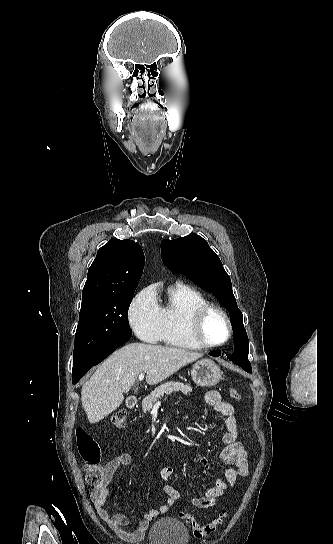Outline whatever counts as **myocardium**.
Returning a JSON list of instances; mask_svg holds the SVG:
<instances>
[{
	"mask_svg": "<svg viewBox=\"0 0 333 544\" xmlns=\"http://www.w3.org/2000/svg\"><path fill=\"white\" fill-rule=\"evenodd\" d=\"M211 312L219 313L226 322L228 328V335L227 338L222 342L212 343L207 341L204 336V323ZM190 331L193 339L202 348H217L226 345L231 340L233 335V325L228 313L225 311L224 308L214 303H207L194 311L190 321Z\"/></svg>",
	"mask_w": 333,
	"mask_h": 544,
	"instance_id": "obj_1",
	"label": "myocardium"
}]
</instances>
